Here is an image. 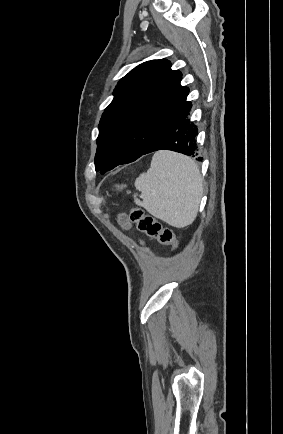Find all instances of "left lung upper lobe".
Instances as JSON below:
<instances>
[{"mask_svg": "<svg viewBox=\"0 0 283 434\" xmlns=\"http://www.w3.org/2000/svg\"><path fill=\"white\" fill-rule=\"evenodd\" d=\"M182 76L168 60L144 62L114 89V99L102 114L95 168L101 174L135 161L168 117L186 101Z\"/></svg>", "mask_w": 283, "mask_h": 434, "instance_id": "obj_1", "label": "left lung upper lobe"}]
</instances>
